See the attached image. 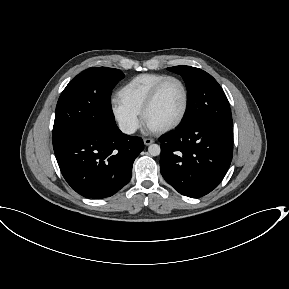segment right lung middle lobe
I'll use <instances>...</instances> for the list:
<instances>
[{"instance_id":"dd1d6c3e","label":"right lung middle lobe","mask_w":289,"mask_h":289,"mask_svg":"<svg viewBox=\"0 0 289 289\" xmlns=\"http://www.w3.org/2000/svg\"><path fill=\"white\" fill-rule=\"evenodd\" d=\"M122 78L118 69L91 67L71 80L56 106L53 146L87 127L115 125L110 95Z\"/></svg>"}]
</instances>
